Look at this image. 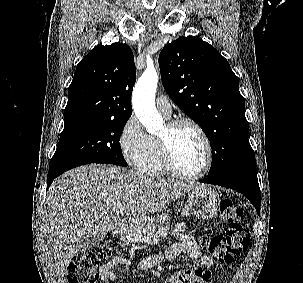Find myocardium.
Wrapping results in <instances>:
<instances>
[{
  "mask_svg": "<svg viewBox=\"0 0 303 283\" xmlns=\"http://www.w3.org/2000/svg\"><path fill=\"white\" fill-rule=\"evenodd\" d=\"M184 126L192 127L199 134L205 146L206 161L202 170L196 174H186L181 172L174 159L170 135L174 134L179 128ZM167 128L168 134L159 136L157 139L159 142L162 161L168 172L171 175L184 180H197L204 177L209 172L213 163L212 144L204 129L198 123L190 119L173 120L167 124Z\"/></svg>",
  "mask_w": 303,
  "mask_h": 283,
  "instance_id": "myocardium-1",
  "label": "myocardium"
}]
</instances>
